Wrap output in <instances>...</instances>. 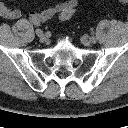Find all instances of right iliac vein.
I'll return each mask as SVG.
<instances>
[{
    "label": "right iliac vein",
    "mask_w": 128,
    "mask_h": 128,
    "mask_svg": "<svg viewBox=\"0 0 128 128\" xmlns=\"http://www.w3.org/2000/svg\"><path fill=\"white\" fill-rule=\"evenodd\" d=\"M36 35L41 39L44 40L46 39L45 34L43 33V31L41 29H36Z\"/></svg>",
    "instance_id": "right-iliac-vein-1"
}]
</instances>
